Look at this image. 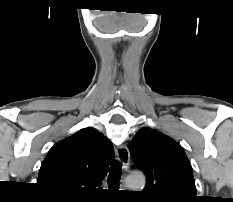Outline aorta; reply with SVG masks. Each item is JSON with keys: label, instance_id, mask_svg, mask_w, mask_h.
Returning <instances> with one entry per match:
<instances>
[{"label": "aorta", "instance_id": "obj_1", "mask_svg": "<svg viewBox=\"0 0 233 202\" xmlns=\"http://www.w3.org/2000/svg\"><path fill=\"white\" fill-rule=\"evenodd\" d=\"M145 184V178L141 174L131 175L126 180V185L130 189H138Z\"/></svg>", "mask_w": 233, "mask_h": 202}]
</instances>
